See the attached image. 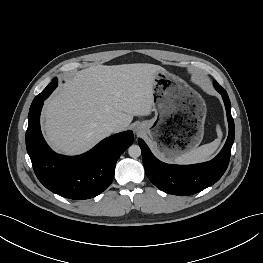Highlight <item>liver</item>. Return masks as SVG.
Segmentation results:
<instances>
[{"mask_svg":"<svg viewBox=\"0 0 263 263\" xmlns=\"http://www.w3.org/2000/svg\"><path fill=\"white\" fill-rule=\"evenodd\" d=\"M159 65H97L76 72L44 105V131L58 152L83 153L108 137L105 125L125 130L134 116H147L154 106V74Z\"/></svg>","mask_w":263,"mask_h":263,"instance_id":"liver-1","label":"liver"}]
</instances>
